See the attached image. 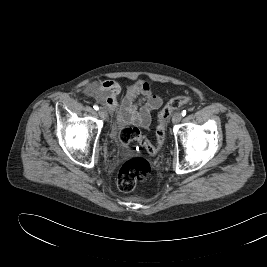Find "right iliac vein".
Listing matches in <instances>:
<instances>
[{
  "label": "right iliac vein",
  "mask_w": 267,
  "mask_h": 267,
  "mask_svg": "<svg viewBox=\"0 0 267 267\" xmlns=\"http://www.w3.org/2000/svg\"><path fill=\"white\" fill-rule=\"evenodd\" d=\"M98 114L102 119H107L108 117V113L104 108H100Z\"/></svg>",
  "instance_id": "1"
}]
</instances>
